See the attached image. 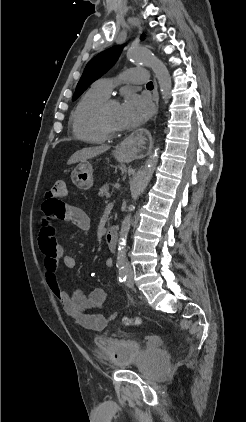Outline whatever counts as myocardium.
<instances>
[{"instance_id":"obj_1","label":"myocardium","mask_w":246,"mask_h":422,"mask_svg":"<svg viewBox=\"0 0 246 422\" xmlns=\"http://www.w3.org/2000/svg\"><path fill=\"white\" fill-rule=\"evenodd\" d=\"M114 104H118V101L115 99L107 98L105 101H103L99 105L96 112V118H97L99 127L107 136H110V137L119 136L122 132L121 129H116L110 126L106 118L107 109L111 105H114Z\"/></svg>"}]
</instances>
